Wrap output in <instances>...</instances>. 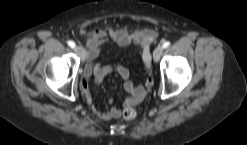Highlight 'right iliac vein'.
I'll list each match as a JSON object with an SVG mask.
<instances>
[{"label":"right iliac vein","instance_id":"63e3f726","mask_svg":"<svg viewBox=\"0 0 247 145\" xmlns=\"http://www.w3.org/2000/svg\"><path fill=\"white\" fill-rule=\"evenodd\" d=\"M75 51L77 52V54L81 57L82 60H84L85 57V53L84 50L81 46H76L75 47Z\"/></svg>","mask_w":247,"mask_h":145}]
</instances>
